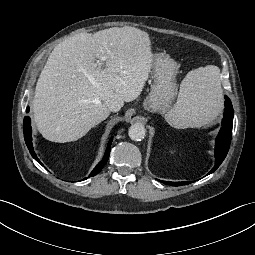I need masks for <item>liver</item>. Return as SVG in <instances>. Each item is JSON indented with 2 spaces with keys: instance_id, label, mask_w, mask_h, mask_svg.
I'll use <instances>...</instances> for the list:
<instances>
[{
  "instance_id": "liver-1",
  "label": "liver",
  "mask_w": 255,
  "mask_h": 255,
  "mask_svg": "<svg viewBox=\"0 0 255 255\" xmlns=\"http://www.w3.org/2000/svg\"><path fill=\"white\" fill-rule=\"evenodd\" d=\"M152 62L149 34L135 27L64 40L51 52L36 84L32 109L39 132L60 143L85 136L110 115L107 100L122 106L141 94Z\"/></svg>"
}]
</instances>
